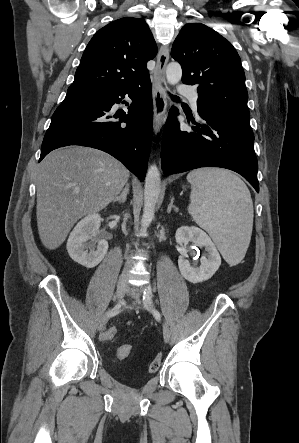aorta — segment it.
Wrapping results in <instances>:
<instances>
[{"mask_svg": "<svg viewBox=\"0 0 299 443\" xmlns=\"http://www.w3.org/2000/svg\"><path fill=\"white\" fill-rule=\"evenodd\" d=\"M167 81L171 85H176L182 77V69L179 63L172 62L166 68ZM161 179L158 167L152 164L146 175L144 188V208L141 219V226L143 230L151 224L154 218L156 203L160 193Z\"/></svg>", "mask_w": 299, "mask_h": 443, "instance_id": "obj_1", "label": "aorta"}]
</instances>
